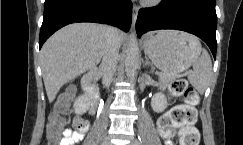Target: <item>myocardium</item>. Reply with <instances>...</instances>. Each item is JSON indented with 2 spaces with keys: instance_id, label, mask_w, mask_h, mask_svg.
I'll use <instances>...</instances> for the list:
<instances>
[{
  "instance_id": "f54148a6",
  "label": "myocardium",
  "mask_w": 243,
  "mask_h": 145,
  "mask_svg": "<svg viewBox=\"0 0 243 145\" xmlns=\"http://www.w3.org/2000/svg\"><path fill=\"white\" fill-rule=\"evenodd\" d=\"M163 0H143V4L147 7H156L160 5Z\"/></svg>"
}]
</instances>
